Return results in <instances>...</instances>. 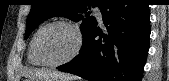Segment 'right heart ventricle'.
Instances as JSON below:
<instances>
[{
  "label": "right heart ventricle",
  "instance_id": "e07e8e85",
  "mask_svg": "<svg viewBox=\"0 0 169 81\" xmlns=\"http://www.w3.org/2000/svg\"><path fill=\"white\" fill-rule=\"evenodd\" d=\"M42 27H40L31 37L30 42H29V46H28V53H27V59H28V63L34 66H42L41 62L38 60V58L36 57L35 54V50H34V44H35V38L37 33L39 32V30Z\"/></svg>",
  "mask_w": 169,
  "mask_h": 81
}]
</instances>
